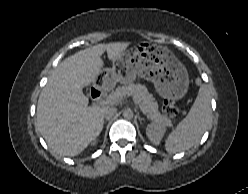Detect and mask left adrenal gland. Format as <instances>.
<instances>
[{"label": "left adrenal gland", "instance_id": "a2214340", "mask_svg": "<svg viewBox=\"0 0 248 194\" xmlns=\"http://www.w3.org/2000/svg\"><path fill=\"white\" fill-rule=\"evenodd\" d=\"M145 119L144 118H141V117H139V121L141 122V121H144Z\"/></svg>", "mask_w": 248, "mask_h": 194}]
</instances>
